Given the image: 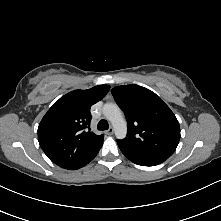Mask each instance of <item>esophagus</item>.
Returning <instances> with one entry per match:
<instances>
[{
	"label": "esophagus",
	"instance_id": "obj_1",
	"mask_svg": "<svg viewBox=\"0 0 221 221\" xmlns=\"http://www.w3.org/2000/svg\"><path fill=\"white\" fill-rule=\"evenodd\" d=\"M113 133H114V129L112 127L106 131L107 135H113Z\"/></svg>",
	"mask_w": 221,
	"mask_h": 221
}]
</instances>
